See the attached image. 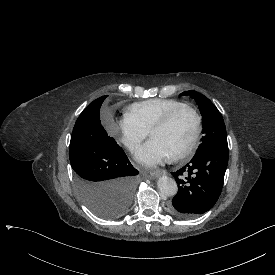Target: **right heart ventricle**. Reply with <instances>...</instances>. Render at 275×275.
Returning <instances> with one entry per match:
<instances>
[{
	"mask_svg": "<svg viewBox=\"0 0 275 275\" xmlns=\"http://www.w3.org/2000/svg\"><path fill=\"white\" fill-rule=\"evenodd\" d=\"M184 105V102L175 99L154 98L131 104L126 115L149 132L168 112Z\"/></svg>",
	"mask_w": 275,
	"mask_h": 275,
	"instance_id": "1",
	"label": "right heart ventricle"
}]
</instances>
